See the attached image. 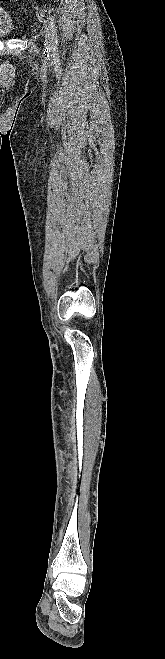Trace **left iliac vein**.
<instances>
[{
	"mask_svg": "<svg viewBox=\"0 0 165 659\" xmlns=\"http://www.w3.org/2000/svg\"><path fill=\"white\" fill-rule=\"evenodd\" d=\"M44 32H45L46 43L49 45L52 44L54 42V39L52 37L51 31L47 27H45Z\"/></svg>",
	"mask_w": 165,
	"mask_h": 659,
	"instance_id": "obj_1",
	"label": "left iliac vein"
}]
</instances>
